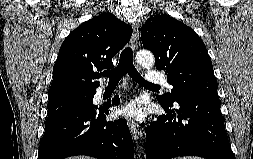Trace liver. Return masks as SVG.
<instances>
[{"label": "liver", "mask_w": 253, "mask_h": 159, "mask_svg": "<svg viewBox=\"0 0 253 159\" xmlns=\"http://www.w3.org/2000/svg\"><path fill=\"white\" fill-rule=\"evenodd\" d=\"M67 159H94V158H90L88 156H75V157H70Z\"/></svg>", "instance_id": "obj_1"}]
</instances>
